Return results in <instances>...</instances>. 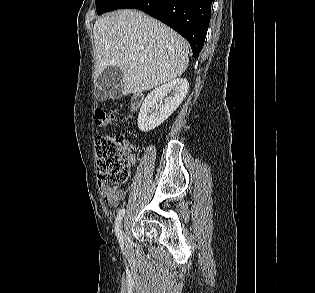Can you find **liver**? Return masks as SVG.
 I'll use <instances>...</instances> for the list:
<instances>
[{
  "mask_svg": "<svg viewBox=\"0 0 315 293\" xmlns=\"http://www.w3.org/2000/svg\"><path fill=\"white\" fill-rule=\"evenodd\" d=\"M93 36L97 76L108 66L119 67L123 95L170 82L183 74L189 62L187 42L140 11L122 9L98 18Z\"/></svg>",
  "mask_w": 315,
  "mask_h": 293,
  "instance_id": "1",
  "label": "liver"
}]
</instances>
